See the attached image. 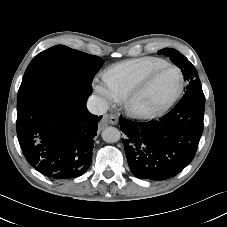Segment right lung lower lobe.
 Masks as SVG:
<instances>
[{
	"label": "right lung lower lobe",
	"instance_id": "right-lung-lower-lobe-1",
	"mask_svg": "<svg viewBox=\"0 0 227 227\" xmlns=\"http://www.w3.org/2000/svg\"><path fill=\"white\" fill-rule=\"evenodd\" d=\"M91 93L40 89L17 102V135L29 164L55 179L81 176L91 163L101 119L86 108Z\"/></svg>",
	"mask_w": 227,
	"mask_h": 227
}]
</instances>
